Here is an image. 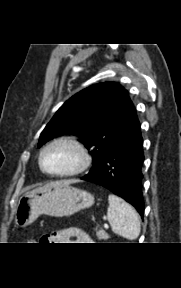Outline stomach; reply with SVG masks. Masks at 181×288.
I'll use <instances>...</instances> for the list:
<instances>
[{
    "label": "stomach",
    "instance_id": "0dacf381",
    "mask_svg": "<svg viewBox=\"0 0 181 288\" xmlns=\"http://www.w3.org/2000/svg\"><path fill=\"white\" fill-rule=\"evenodd\" d=\"M94 204V196L73 187L66 181L51 182L44 187L20 197L14 221L19 227L32 224L40 215L52 217L71 216Z\"/></svg>",
    "mask_w": 181,
    "mask_h": 288
}]
</instances>
